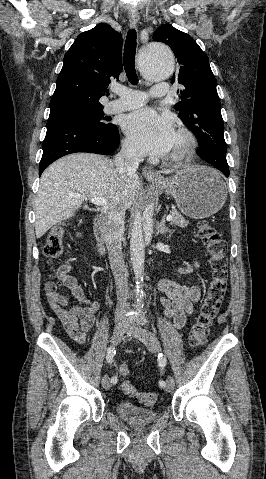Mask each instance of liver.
<instances>
[{
    "instance_id": "6515ba94",
    "label": "liver",
    "mask_w": 266,
    "mask_h": 479,
    "mask_svg": "<svg viewBox=\"0 0 266 479\" xmlns=\"http://www.w3.org/2000/svg\"><path fill=\"white\" fill-rule=\"evenodd\" d=\"M140 187L136 174H119L114 162L102 155L76 153L65 156L41 176L35 200L36 237L41 238L52 226L74 216L88 198L107 199L102 211L116 205L130 208L139 196Z\"/></svg>"
}]
</instances>
